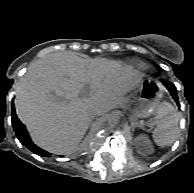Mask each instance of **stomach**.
Wrapping results in <instances>:
<instances>
[{
	"label": "stomach",
	"instance_id": "0dacf381",
	"mask_svg": "<svg viewBox=\"0 0 194 193\" xmlns=\"http://www.w3.org/2000/svg\"><path fill=\"white\" fill-rule=\"evenodd\" d=\"M162 87L157 80L145 79L140 82L133 99L124 100L122 105L137 118H146L159 106Z\"/></svg>",
	"mask_w": 194,
	"mask_h": 193
}]
</instances>
